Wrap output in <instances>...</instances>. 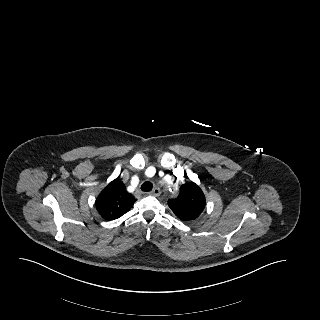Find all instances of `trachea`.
<instances>
[{
  "label": "trachea",
  "instance_id": "3493384b",
  "mask_svg": "<svg viewBox=\"0 0 320 320\" xmlns=\"http://www.w3.org/2000/svg\"><path fill=\"white\" fill-rule=\"evenodd\" d=\"M152 189V184L148 181L144 182L141 186V190L144 192H149Z\"/></svg>",
  "mask_w": 320,
  "mask_h": 320
}]
</instances>
